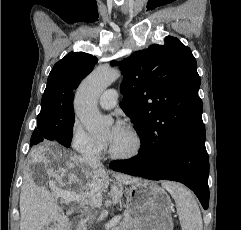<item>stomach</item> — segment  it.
I'll list each match as a JSON object with an SVG mask.
<instances>
[{
    "mask_svg": "<svg viewBox=\"0 0 241 230\" xmlns=\"http://www.w3.org/2000/svg\"><path fill=\"white\" fill-rule=\"evenodd\" d=\"M125 192L126 208L140 223L139 230H173L172 203L163 188L140 180Z\"/></svg>",
    "mask_w": 241,
    "mask_h": 230,
    "instance_id": "0dacf381",
    "label": "stomach"
}]
</instances>
